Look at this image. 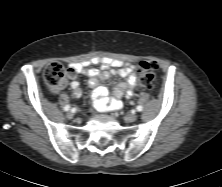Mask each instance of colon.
<instances>
[{
	"label": "colon",
	"mask_w": 222,
	"mask_h": 187,
	"mask_svg": "<svg viewBox=\"0 0 222 187\" xmlns=\"http://www.w3.org/2000/svg\"><path fill=\"white\" fill-rule=\"evenodd\" d=\"M157 70V65L155 62L142 61L139 64V88L141 90L151 89L153 86V81L155 79V74ZM44 79L48 88L57 92L63 89L66 85V72L64 67L59 63L49 64L44 71Z\"/></svg>",
	"instance_id": "obj_1"
}]
</instances>
